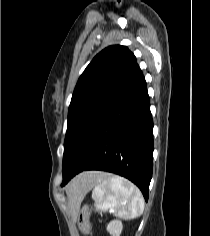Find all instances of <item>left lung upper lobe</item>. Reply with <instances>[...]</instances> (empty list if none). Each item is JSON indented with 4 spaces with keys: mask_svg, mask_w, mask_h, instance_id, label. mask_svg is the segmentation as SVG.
Returning <instances> with one entry per match:
<instances>
[{
    "mask_svg": "<svg viewBox=\"0 0 210 236\" xmlns=\"http://www.w3.org/2000/svg\"><path fill=\"white\" fill-rule=\"evenodd\" d=\"M141 74L136 57L126 46L107 47L94 57L72 95L63 164L86 127Z\"/></svg>",
    "mask_w": 210,
    "mask_h": 236,
    "instance_id": "left-lung-upper-lobe-1",
    "label": "left lung upper lobe"
}]
</instances>
